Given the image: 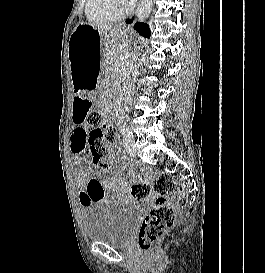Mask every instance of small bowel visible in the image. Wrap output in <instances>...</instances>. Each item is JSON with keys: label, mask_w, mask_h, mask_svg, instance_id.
Returning a JSON list of instances; mask_svg holds the SVG:
<instances>
[{"label": "small bowel", "mask_w": 265, "mask_h": 273, "mask_svg": "<svg viewBox=\"0 0 265 273\" xmlns=\"http://www.w3.org/2000/svg\"><path fill=\"white\" fill-rule=\"evenodd\" d=\"M71 115L72 124H85L86 114L89 111L90 100L87 95H74ZM88 127L85 125H77L71 137V154L74 159V165L77 169V178L81 186L79 193V203L83 208H89L96 204H113V199H125V180L118 174H112L109 178L103 177L101 174H92L90 170H97V165H93L86 153L87 143L86 137ZM86 184V189H85ZM112 194V198H111Z\"/></svg>", "instance_id": "small-bowel-1"}]
</instances>
